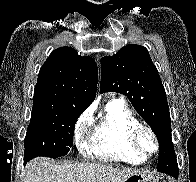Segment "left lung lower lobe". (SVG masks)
<instances>
[{
  "instance_id": "1",
  "label": "left lung lower lobe",
  "mask_w": 196,
  "mask_h": 182,
  "mask_svg": "<svg viewBox=\"0 0 196 182\" xmlns=\"http://www.w3.org/2000/svg\"><path fill=\"white\" fill-rule=\"evenodd\" d=\"M159 159L161 162H172L175 160V153L174 151H169L167 149L162 150L159 155ZM176 179L178 176L175 177Z\"/></svg>"
}]
</instances>
